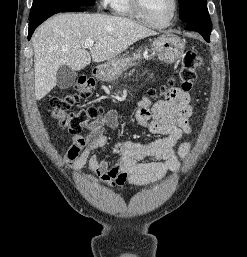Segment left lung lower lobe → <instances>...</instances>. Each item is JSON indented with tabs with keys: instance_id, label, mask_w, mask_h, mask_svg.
Returning a JSON list of instances; mask_svg holds the SVG:
<instances>
[{
	"instance_id": "0a47b994",
	"label": "left lung lower lobe",
	"mask_w": 247,
	"mask_h": 257,
	"mask_svg": "<svg viewBox=\"0 0 247 257\" xmlns=\"http://www.w3.org/2000/svg\"><path fill=\"white\" fill-rule=\"evenodd\" d=\"M185 29L200 33L207 42H210L211 26H207L200 22H189L186 23Z\"/></svg>"
}]
</instances>
